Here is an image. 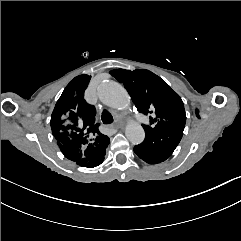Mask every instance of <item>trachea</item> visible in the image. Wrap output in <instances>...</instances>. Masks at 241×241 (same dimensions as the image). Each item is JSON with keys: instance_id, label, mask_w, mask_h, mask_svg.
<instances>
[{"instance_id": "trachea-1", "label": "trachea", "mask_w": 241, "mask_h": 241, "mask_svg": "<svg viewBox=\"0 0 241 241\" xmlns=\"http://www.w3.org/2000/svg\"><path fill=\"white\" fill-rule=\"evenodd\" d=\"M101 119L104 124H111L114 120L111 113L106 110L102 112Z\"/></svg>"}]
</instances>
